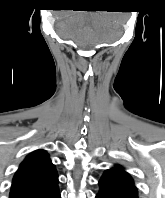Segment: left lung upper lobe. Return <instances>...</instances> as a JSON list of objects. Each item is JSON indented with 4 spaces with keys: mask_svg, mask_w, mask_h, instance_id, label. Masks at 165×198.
<instances>
[{
    "mask_svg": "<svg viewBox=\"0 0 165 198\" xmlns=\"http://www.w3.org/2000/svg\"><path fill=\"white\" fill-rule=\"evenodd\" d=\"M110 171L118 174L119 176H121L126 181L134 184L133 179L131 178V176L127 172H125L124 169L120 165H116L114 168L110 169Z\"/></svg>",
    "mask_w": 165,
    "mask_h": 198,
    "instance_id": "5c2ea615",
    "label": "left lung upper lobe"
}]
</instances>
